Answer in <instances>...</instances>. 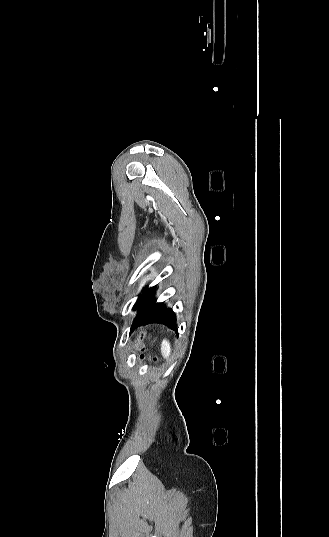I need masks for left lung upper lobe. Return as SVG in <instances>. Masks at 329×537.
Instances as JSON below:
<instances>
[{
	"label": "left lung upper lobe",
	"instance_id": "obj_1",
	"mask_svg": "<svg viewBox=\"0 0 329 537\" xmlns=\"http://www.w3.org/2000/svg\"><path fill=\"white\" fill-rule=\"evenodd\" d=\"M146 289H147V287L144 288V292H145ZM142 296H143V294L139 296V298H138L137 302L135 303V305L138 304V302L141 300ZM135 305H134V306H135Z\"/></svg>",
	"mask_w": 329,
	"mask_h": 537
}]
</instances>
